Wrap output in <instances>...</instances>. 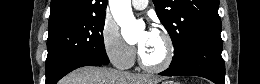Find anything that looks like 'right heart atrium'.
<instances>
[{
    "mask_svg": "<svg viewBox=\"0 0 260 84\" xmlns=\"http://www.w3.org/2000/svg\"><path fill=\"white\" fill-rule=\"evenodd\" d=\"M101 41L105 55L114 66L126 69L133 65L135 49L125 41L119 26L111 18H106L103 23Z\"/></svg>",
    "mask_w": 260,
    "mask_h": 84,
    "instance_id": "right-heart-atrium-1",
    "label": "right heart atrium"
}]
</instances>
